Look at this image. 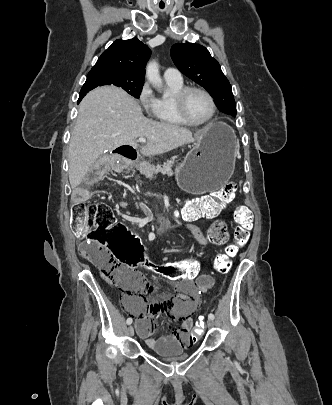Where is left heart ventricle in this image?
Masks as SVG:
<instances>
[{
  "label": "left heart ventricle",
  "instance_id": "left-heart-ventricle-1",
  "mask_svg": "<svg viewBox=\"0 0 332 405\" xmlns=\"http://www.w3.org/2000/svg\"><path fill=\"white\" fill-rule=\"evenodd\" d=\"M186 110L192 120L202 121L210 116L212 105L206 95L199 91H192L186 100Z\"/></svg>",
  "mask_w": 332,
  "mask_h": 405
}]
</instances>
